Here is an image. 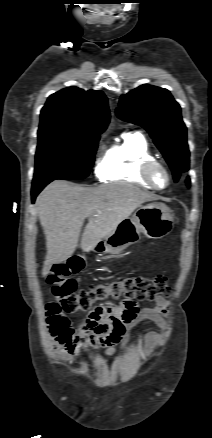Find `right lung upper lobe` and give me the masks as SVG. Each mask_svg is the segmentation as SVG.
<instances>
[{
  "instance_id": "1",
  "label": "right lung upper lobe",
  "mask_w": 212,
  "mask_h": 438,
  "mask_svg": "<svg viewBox=\"0 0 212 438\" xmlns=\"http://www.w3.org/2000/svg\"><path fill=\"white\" fill-rule=\"evenodd\" d=\"M110 120L107 98L102 91L76 87L49 96L41 110L38 133L62 131L74 134H101Z\"/></svg>"
}]
</instances>
